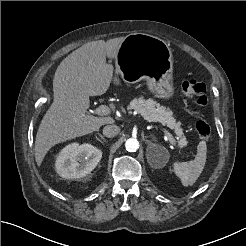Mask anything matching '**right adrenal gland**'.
Instances as JSON below:
<instances>
[{"mask_svg": "<svg viewBox=\"0 0 246 246\" xmlns=\"http://www.w3.org/2000/svg\"><path fill=\"white\" fill-rule=\"evenodd\" d=\"M98 136L100 137V139H98L100 142H106V139L104 138V136L100 133H97Z\"/></svg>", "mask_w": 246, "mask_h": 246, "instance_id": "obj_1", "label": "right adrenal gland"}]
</instances>
